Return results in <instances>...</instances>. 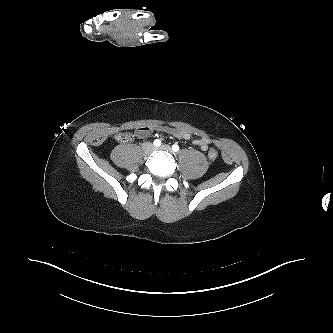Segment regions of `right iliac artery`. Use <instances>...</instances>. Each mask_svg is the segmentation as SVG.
Returning <instances> with one entry per match:
<instances>
[{
    "mask_svg": "<svg viewBox=\"0 0 333 333\" xmlns=\"http://www.w3.org/2000/svg\"><path fill=\"white\" fill-rule=\"evenodd\" d=\"M153 144H154L156 147H158V146L161 145V140H160V139H156V140H154Z\"/></svg>",
    "mask_w": 333,
    "mask_h": 333,
    "instance_id": "82829eb1",
    "label": "right iliac artery"
}]
</instances>
